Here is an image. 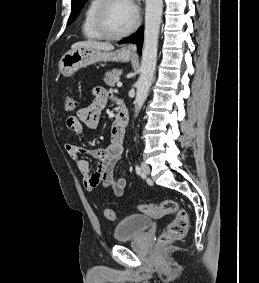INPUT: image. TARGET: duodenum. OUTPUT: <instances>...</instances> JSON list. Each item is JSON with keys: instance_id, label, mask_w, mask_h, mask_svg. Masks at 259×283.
I'll return each mask as SVG.
<instances>
[{"instance_id": "obj_1", "label": "duodenum", "mask_w": 259, "mask_h": 283, "mask_svg": "<svg viewBox=\"0 0 259 283\" xmlns=\"http://www.w3.org/2000/svg\"><path fill=\"white\" fill-rule=\"evenodd\" d=\"M129 120L128 110L125 106L120 105L115 121L114 126L117 130L124 131Z\"/></svg>"}]
</instances>
